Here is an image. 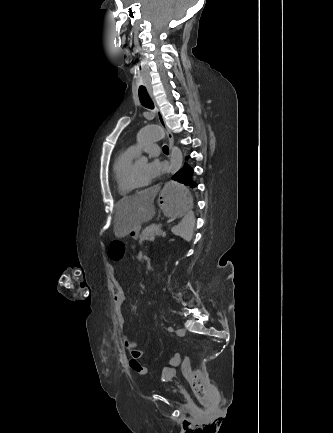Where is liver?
I'll return each mask as SVG.
<instances>
[{
    "label": "liver",
    "mask_w": 333,
    "mask_h": 433,
    "mask_svg": "<svg viewBox=\"0 0 333 433\" xmlns=\"http://www.w3.org/2000/svg\"><path fill=\"white\" fill-rule=\"evenodd\" d=\"M154 199V192L145 190L119 200L115 205V236L123 238L132 231L139 232L143 223L152 220L155 215Z\"/></svg>",
    "instance_id": "1"
}]
</instances>
